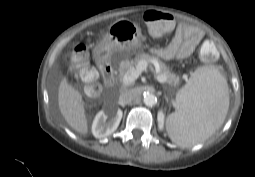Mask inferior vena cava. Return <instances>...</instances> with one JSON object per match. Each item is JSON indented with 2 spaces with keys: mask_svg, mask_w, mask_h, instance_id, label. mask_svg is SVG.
<instances>
[{
  "mask_svg": "<svg viewBox=\"0 0 255 177\" xmlns=\"http://www.w3.org/2000/svg\"><path fill=\"white\" fill-rule=\"evenodd\" d=\"M138 96L139 93L135 89H130L120 95L119 102L123 105L131 104Z\"/></svg>",
  "mask_w": 255,
  "mask_h": 177,
  "instance_id": "inferior-vena-cava-1",
  "label": "inferior vena cava"
}]
</instances>
